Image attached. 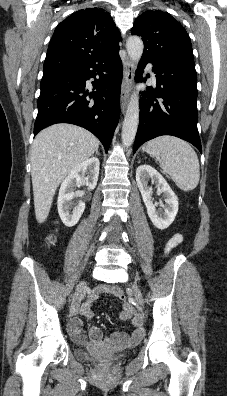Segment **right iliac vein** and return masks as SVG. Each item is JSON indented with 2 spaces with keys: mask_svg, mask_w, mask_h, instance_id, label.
<instances>
[{
  "mask_svg": "<svg viewBox=\"0 0 227 396\" xmlns=\"http://www.w3.org/2000/svg\"><path fill=\"white\" fill-rule=\"evenodd\" d=\"M86 293V283L85 282H81L75 291L72 303H71V308H70V316L73 317L74 315H76L78 313L80 304L82 299L84 298Z\"/></svg>",
  "mask_w": 227,
  "mask_h": 396,
  "instance_id": "63e3f726",
  "label": "right iliac vein"
}]
</instances>
